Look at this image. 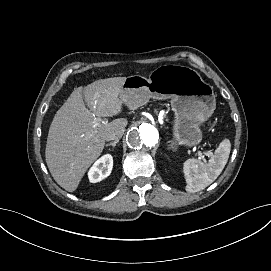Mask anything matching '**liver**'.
Instances as JSON below:
<instances>
[{"mask_svg": "<svg viewBox=\"0 0 271 271\" xmlns=\"http://www.w3.org/2000/svg\"><path fill=\"white\" fill-rule=\"evenodd\" d=\"M126 79L107 78L80 87L55 114L45 156L54 180L66 191L77 189L89 167L101 155L106 137L127 126L128 121L124 118L107 124H101L95 118L114 117L123 112L121 91ZM83 92L91 110L86 108Z\"/></svg>", "mask_w": 271, "mask_h": 271, "instance_id": "6515ba94", "label": "liver"}]
</instances>
